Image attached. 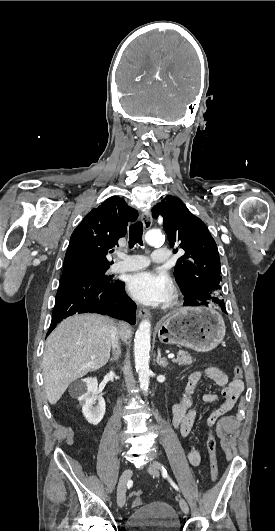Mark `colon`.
<instances>
[{"instance_id":"colon-1","label":"colon","mask_w":275,"mask_h":531,"mask_svg":"<svg viewBox=\"0 0 275 531\" xmlns=\"http://www.w3.org/2000/svg\"><path fill=\"white\" fill-rule=\"evenodd\" d=\"M234 373L237 376H240L242 374L241 365L236 364L234 366ZM206 435L208 436L207 441H206V446H207L208 456H209V467H210L211 479L212 481H216L218 478L216 440L211 430H208L206 432ZM141 494H142L141 488H138L136 490H131V495L140 496Z\"/></svg>"}]
</instances>
